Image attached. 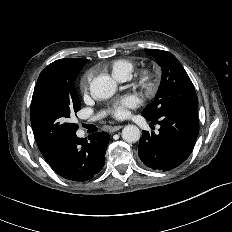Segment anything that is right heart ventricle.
<instances>
[{
  "label": "right heart ventricle",
  "mask_w": 232,
  "mask_h": 232,
  "mask_svg": "<svg viewBox=\"0 0 232 232\" xmlns=\"http://www.w3.org/2000/svg\"><path fill=\"white\" fill-rule=\"evenodd\" d=\"M135 66L136 64L132 59L120 58L110 64V71L116 79L123 80L132 75Z\"/></svg>",
  "instance_id": "obj_1"
}]
</instances>
